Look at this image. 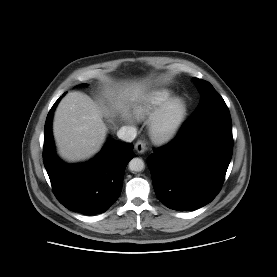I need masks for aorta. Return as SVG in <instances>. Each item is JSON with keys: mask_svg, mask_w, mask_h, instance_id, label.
Listing matches in <instances>:
<instances>
[{"mask_svg": "<svg viewBox=\"0 0 277 277\" xmlns=\"http://www.w3.org/2000/svg\"><path fill=\"white\" fill-rule=\"evenodd\" d=\"M145 168L144 161L141 158H133L129 162V169L132 172H140Z\"/></svg>", "mask_w": 277, "mask_h": 277, "instance_id": "aorta-1", "label": "aorta"}]
</instances>
